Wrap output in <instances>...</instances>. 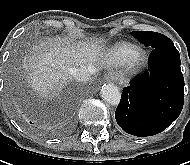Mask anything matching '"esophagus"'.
Listing matches in <instances>:
<instances>
[{
	"label": "esophagus",
	"instance_id": "1",
	"mask_svg": "<svg viewBox=\"0 0 190 165\" xmlns=\"http://www.w3.org/2000/svg\"><path fill=\"white\" fill-rule=\"evenodd\" d=\"M106 81H111V82H115L117 80V76L114 74H109L108 76H106Z\"/></svg>",
	"mask_w": 190,
	"mask_h": 165
}]
</instances>
